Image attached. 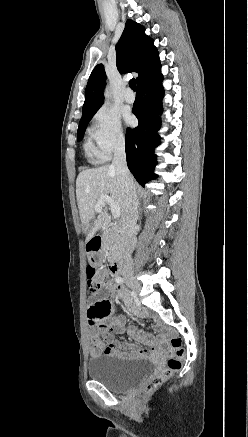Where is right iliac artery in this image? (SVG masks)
Returning a JSON list of instances; mask_svg holds the SVG:
<instances>
[{
  "label": "right iliac artery",
  "mask_w": 248,
  "mask_h": 437,
  "mask_svg": "<svg viewBox=\"0 0 248 437\" xmlns=\"http://www.w3.org/2000/svg\"><path fill=\"white\" fill-rule=\"evenodd\" d=\"M116 282H117V283H120V284H123V283H124V280H123V278H121V277H117V278H116ZM131 295L133 296V292H131Z\"/></svg>",
  "instance_id": "right-iliac-artery-1"
}]
</instances>
